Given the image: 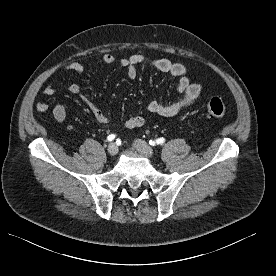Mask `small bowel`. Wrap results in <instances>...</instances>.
<instances>
[{
    "label": "small bowel",
    "mask_w": 276,
    "mask_h": 276,
    "mask_svg": "<svg viewBox=\"0 0 276 276\" xmlns=\"http://www.w3.org/2000/svg\"><path fill=\"white\" fill-rule=\"evenodd\" d=\"M114 62L115 57L110 53L104 54L101 58L102 65L108 66L112 65ZM119 64L122 68L126 69L127 77L130 80H134L137 77V67L140 64H145L150 68L169 73L178 78L176 89L181 94V97L175 101L166 103L158 101L150 102L147 106V110L152 114H158L165 117L174 116L183 109L191 106L200 95V85L190 82L187 69L181 63H175L168 59H154L143 54H135L121 58ZM65 69L72 70L76 73H82L84 71V66L78 62H71L65 66ZM68 89L71 94L78 96L88 107L98 123L106 126L111 124V118L82 92L79 84L73 83ZM43 91L46 95H53L58 91V86L49 83L44 87ZM48 109L49 105L46 102H38L36 104V110L38 112H46ZM52 113L55 120L58 122H64L67 118L66 108L62 104H56L52 109ZM144 124L145 119L142 116L132 115L125 121L124 127L126 129H136L141 128Z\"/></svg>",
    "instance_id": "obj_1"
}]
</instances>
